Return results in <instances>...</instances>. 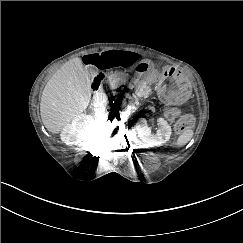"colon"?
Masks as SVG:
<instances>
[{"label": "colon", "instance_id": "obj_1", "mask_svg": "<svg viewBox=\"0 0 243 243\" xmlns=\"http://www.w3.org/2000/svg\"><path fill=\"white\" fill-rule=\"evenodd\" d=\"M164 114L167 119L171 121H177L175 125V130L178 134L185 132L193 125L192 116H182L181 111L177 107H167L164 110Z\"/></svg>", "mask_w": 243, "mask_h": 243}]
</instances>
